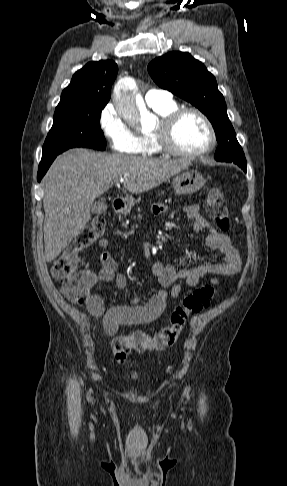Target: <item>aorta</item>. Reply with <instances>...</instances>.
I'll list each match as a JSON object with an SVG mask.
<instances>
[{
	"mask_svg": "<svg viewBox=\"0 0 287 486\" xmlns=\"http://www.w3.org/2000/svg\"><path fill=\"white\" fill-rule=\"evenodd\" d=\"M114 99L117 112L128 123H141L143 128L155 125L156 118L145 107L138 97L136 90L130 89L124 82H120L114 89Z\"/></svg>",
	"mask_w": 287,
	"mask_h": 486,
	"instance_id": "aorta-1",
	"label": "aorta"
}]
</instances>
